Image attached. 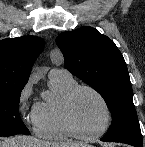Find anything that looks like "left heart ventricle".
<instances>
[{"instance_id":"1","label":"left heart ventricle","mask_w":145,"mask_h":147,"mask_svg":"<svg viewBox=\"0 0 145 147\" xmlns=\"http://www.w3.org/2000/svg\"><path fill=\"white\" fill-rule=\"evenodd\" d=\"M73 110L78 124L86 132L99 131L105 125V109L100 100L89 91H81L77 95Z\"/></svg>"}]
</instances>
